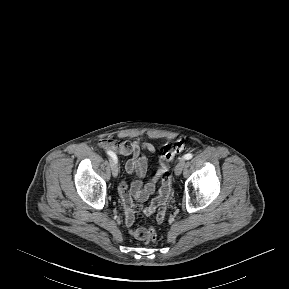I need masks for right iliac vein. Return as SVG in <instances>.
<instances>
[{
	"label": "right iliac vein",
	"instance_id": "1",
	"mask_svg": "<svg viewBox=\"0 0 289 289\" xmlns=\"http://www.w3.org/2000/svg\"><path fill=\"white\" fill-rule=\"evenodd\" d=\"M110 166H111L113 177H117L119 173V168L117 164L114 161H110Z\"/></svg>",
	"mask_w": 289,
	"mask_h": 289
}]
</instances>
